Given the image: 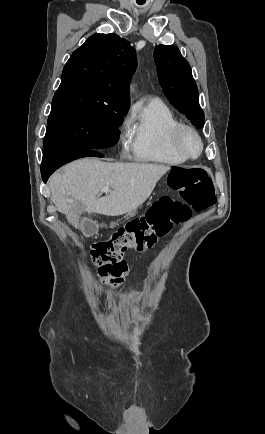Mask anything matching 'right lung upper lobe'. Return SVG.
Segmentation results:
<instances>
[{
    "label": "right lung upper lobe",
    "instance_id": "cb5924a9",
    "mask_svg": "<svg viewBox=\"0 0 265 434\" xmlns=\"http://www.w3.org/2000/svg\"><path fill=\"white\" fill-rule=\"evenodd\" d=\"M136 67L135 49L128 41L113 33L94 34L72 53L61 84H92L128 101V84Z\"/></svg>",
    "mask_w": 265,
    "mask_h": 434
}]
</instances>
